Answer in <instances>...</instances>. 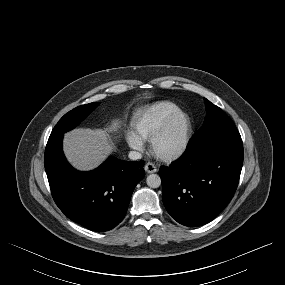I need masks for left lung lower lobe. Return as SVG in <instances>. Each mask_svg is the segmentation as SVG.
I'll return each mask as SVG.
<instances>
[{
    "instance_id": "1",
    "label": "left lung lower lobe",
    "mask_w": 285,
    "mask_h": 285,
    "mask_svg": "<svg viewBox=\"0 0 285 285\" xmlns=\"http://www.w3.org/2000/svg\"><path fill=\"white\" fill-rule=\"evenodd\" d=\"M242 165V140L187 149L169 167H160L166 210L189 227L212 221L232 199Z\"/></svg>"
}]
</instances>
